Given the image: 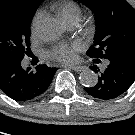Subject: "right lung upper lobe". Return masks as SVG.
<instances>
[{
    "label": "right lung upper lobe",
    "mask_w": 135,
    "mask_h": 135,
    "mask_svg": "<svg viewBox=\"0 0 135 135\" xmlns=\"http://www.w3.org/2000/svg\"><path fill=\"white\" fill-rule=\"evenodd\" d=\"M33 4H37L39 6V4L43 1V0H28Z\"/></svg>",
    "instance_id": "1"
}]
</instances>
